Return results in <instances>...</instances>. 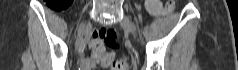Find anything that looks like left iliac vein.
I'll return each instance as SVG.
<instances>
[{
    "instance_id": "1",
    "label": "left iliac vein",
    "mask_w": 238,
    "mask_h": 70,
    "mask_svg": "<svg viewBox=\"0 0 238 70\" xmlns=\"http://www.w3.org/2000/svg\"><path fill=\"white\" fill-rule=\"evenodd\" d=\"M122 27H124L125 29H127L128 31L135 33L136 31V27L135 25L132 23V21L129 19V17L125 16L121 22Z\"/></svg>"
}]
</instances>
